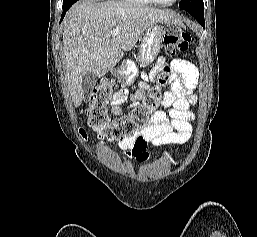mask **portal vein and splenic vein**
Returning <instances> with one entry per match:
<instances>
[{"label":"portal vein and splenic vein","instance_id":"1","mask_svg":"<svg viewBox=\"0 0 257 237\" xmlns=\"http://www.w3.org/2000/svg\"><path fill=\"white\" fill-rule=\"evenodd\" d=\"M118 34H119V30H118V29H113V30L111 31V35H112L113 37L117 36Z\"/></svg>","mask_w":257,"mask_h":237}]
</instances>
